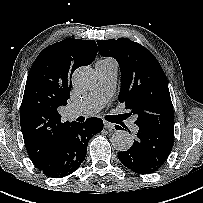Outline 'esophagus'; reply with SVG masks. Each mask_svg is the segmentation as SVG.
<instances>
[{
	"instance_id": "obj_1",
	"label": "esophagus",
	"mask_w": 203,
	"mask_h": 203,
	"mask_svg": "<svg viewBox=\"0 0 203 203\" xmlns=\"http://www.w3.org/2000/svg\"><path fill=\"white\" fill-rule=\"evenodd\" d=\"M104 127L106 129H109V130H114L115 129V125L113 123H110V122H107V121H104Z\"/></svg>"
}]
</instances>
